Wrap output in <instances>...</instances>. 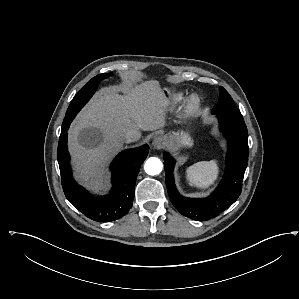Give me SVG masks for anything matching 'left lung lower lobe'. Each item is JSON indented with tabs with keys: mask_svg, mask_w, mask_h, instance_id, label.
<instances>
[{
	"mask_svg": "<svg viewBox=\"0 0 299 299\" xmlns=\"http://www.w3.org/2000/svg\"><path fill=\"white\" fill-rule=\"evenodd\" d=\"M220 129L227 138L225 175L217 189L205 199L185 198L175 187L173 179L174 160L164 153L165 180L169 198L184 216L196 221H205L218 216L239 197L242 181L248 163V131L244 119L225 113L215 114Z\"/></svg>",
	"mask_w": 299,
	"mask_h": 299,
	"instance_id": "obj_1",
	"label": "left lung lower lobe"
}]
</instances>
